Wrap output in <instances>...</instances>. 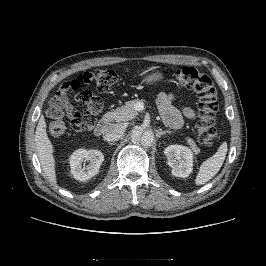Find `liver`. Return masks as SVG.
I'll use <instances>...</instances> for the list:
<instances>
[{"mask_svg": "<svg viewBox=\"0 0 266 266\" xmlns=\"http://www.w3.org/2000/svg\"><path fill=\"white\" fill-rule=\"evenodd\" d=\"M46 128L45 118L41 115L35 132L37 155L49 182L56 184L55 159L53 155L55 149L48 137Z\"/></svg>", "mask_w": 266, "mask_h": 266, "instance_id": "6515ba94", "label": "liver"}]
</instances>
